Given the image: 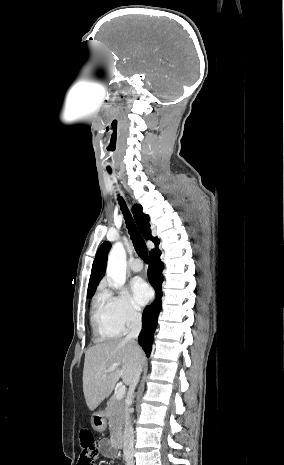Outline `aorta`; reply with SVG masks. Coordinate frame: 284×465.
Wrapping results in <instances>:
<instances>
[{
    "instance_id": "obj_1",
    "label": "aorta",
    "mask_w": 284,
    "mask_h": 465,
    "mask_svg": "<svg viewBox=\"0 0 284 465\" xmlns=\"http://www.w3.org/2000/svg\"><path fill=\"white\" fill-rule=\"evenodd\" d=\"M126 251L121 242L113 245L107 264V275L112 279L115 285L122 286L126 280Z\"/></svg>"
}]
</instances>
